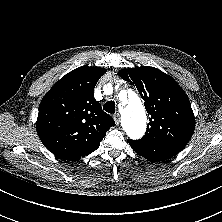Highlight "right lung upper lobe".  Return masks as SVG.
<instances>
[{
  "label": "right lung upper lobe",
  "mask_w": 222,
  "mask_h": 222,
  "mask_svg": "<svg viewBox=\"0 0 222 222\" xmlns=\"http://www.w3.org/2000/svg\"><path fill=\"white\" fill-rule=\"evenodd\" d=\"M106 72L79 67L62 77L42 99L36 122L45 147L59 158L78 160L95 151L115 122L95 100L93 91Z\"/></svg>",
  "instance_id": "cb5924a9"
}]
</instances>
